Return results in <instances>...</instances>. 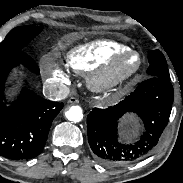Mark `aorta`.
Returning a JSON list of instances; mask_svg holds the SVG:
<instances>
[{
    "mask_svg": "<svg viewBox=\"0 0 183 183\" xmlns=\"http://www.w3.org/2000/svg\"><path fill=\"white\" fill-rule=\"evenodd\" d=\"M65 116L69 121L79 122L83 118V111L80 106H71L66 112Z\"/></svg>",
    "mask_w": 183,
    "mask_h": 183,
    "instance_id": "762f6f07",
    "label": "aorta"
}]
</instances>
